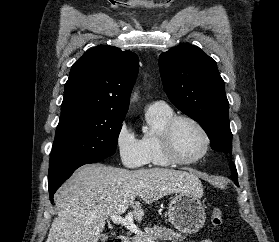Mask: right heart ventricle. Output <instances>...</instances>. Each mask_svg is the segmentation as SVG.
Here are the masks:
<instances>
[{
	"label": "right heart ventricle",
	"instance_id": "1",
	"mask_svg": "<svg viewBox=\"0 0 279 242\" xmlns=\"http://www.w3.org/2000/svg\"><path fill=\"white\" fill-rule=\"evenodd\" d=\"M174 116L173 110L168 106H150L146 113V119L150 130L141 138V144L147 157V163L158 167H168L172 163L166 158L160 135L167 121Z\"/></svg>",
	"mask_w": 279,
	"mask_h": 242
}]
</instances>
